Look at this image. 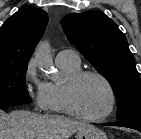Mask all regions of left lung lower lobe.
<instances>
[{
	"label": "left lung lower lobe",
	"mask_w": 141,
	"mask_h": 139,
	"mask_svg": "<svg viewBox=\"0 0 141 139\" xmlns=\"http://www.w3.org/2000/svg\"><path fill=\"white\" fill-rule=\"evenodd\" d=\"M108 125L132 128V129H136L141 132V119H131V120H126V121H119L115 123H109Z\"/></svg>",
	"instance_id": "left-lung-lower-lobe-1"
}]
</instances>
